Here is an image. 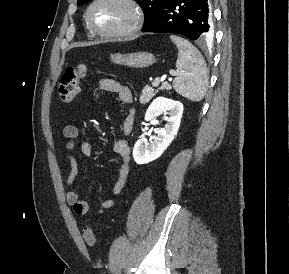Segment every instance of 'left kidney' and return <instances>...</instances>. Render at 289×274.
<instances>
[{"label": "left kidney", "instance_id": "1", "mask_svg": "<svg viewBox=\"0 0 289 274\" xmlns=\"http://www.w3.org/2000/svg\"><path fill=\"white\" fill-rule=\"evenodd\" d=\"M162 111H168V117L164 128L158 129L157 137L146 142L139 139L133 148V158L137 164H147L159 158L177 135L181 117L183 114V104L165 97H157L148 107L145 114V121H151Z\"/></svg>", "mask_w": 289, "mask_h": 274}]
</instances>
